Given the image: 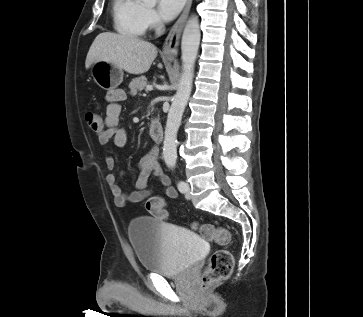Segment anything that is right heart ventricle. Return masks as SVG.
Returning a JSON list of instances; mask_svg holds the SVG:
<instances>
[{"instance_id":"right-heart-ventricle-1","label":"right heart ventricle","mask_w":363,"mask_h":317,"mask_svg":"<svg viewBox=\"0 0 363 317\" xmlns=\"http://www.w3.org/2000/svg\"><path fill=\"white\" fill-rule=\"evenodd\" d=\"M112 10L114 28L119 34L135 38L145 35L147 9L141 0H113Z\"/></svg>"}]
</instances>
